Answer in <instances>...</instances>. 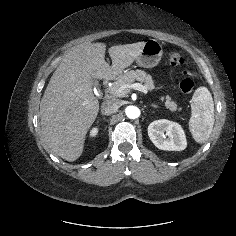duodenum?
Instances as JSON below:
<instances>
[{"label": "duodenum", "mask_w": 236, "mask_h": 236, "mask_svg": "<svg viewBox=\"0 0 236 236\" xmlns=\"http://www.w3.org/2000/svg\"><path fill=\"white\" fill-rule=\"evenodd\" d=\"M108 81H109V78H108V77H106V78L104 79V84H107V83H108Z\"/></svg>", "instance_id": "duodenum-1"}]
</instances>
